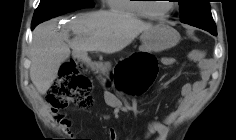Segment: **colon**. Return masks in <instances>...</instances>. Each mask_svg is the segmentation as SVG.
I'll use <instances>...</instances> for the list:
<instances>
[{
	"mask_svg": "<svg viewBox=\"0 0 236 140\" xmlns=\"http://www.w3.org/2000/svg\"><path fill=\"white\" fill-rule=\"evenodd\" d=\"M158 66L154 58L138 55L124 59L115 69L118 87L130 94L141 95L153 83ZM48 103L53 112L69 104L80 108H89L93 104L91 82L81 73L78 61L71 59L65 62L57 80L48 91Z\"/></svg>",
	"mask_w": 236,
	"mask_h": 140,
	"instance_id": "colon-1",
	"label": "colon"
}]
</instances>
